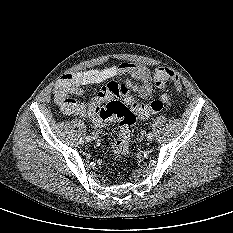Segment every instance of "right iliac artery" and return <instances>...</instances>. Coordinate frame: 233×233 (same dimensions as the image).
<instances>
[{
    "label": "right iliac artery",
    "mask_w": 233,
    "mask_h": 233,
    "mask_svg": "<svg viewBox=\"0 0 233 233\" xmlns=\"http://www.w3.org/2000/svg\"><path fill=\"white\" fill-rule=\"evenodd\" d=\"M91 140H92V137H91V136H87V137H86V141H87V142H89V141H91Z\"/></svg>",
    "instance_id": "1"
}]
</instances>
